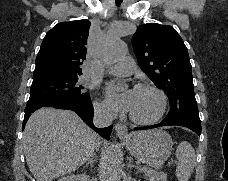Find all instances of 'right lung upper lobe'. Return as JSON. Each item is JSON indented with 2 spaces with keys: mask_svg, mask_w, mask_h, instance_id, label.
Segmentation results:
<instances>
[{
  "mask_svg": "<svg viewBox=\"0 0 228 181\" xmlns=\"http://www.w3.org/2000/svg\"><path fill=\"white\" fill-rule=\"evenodd\" d=\"M90 24L88 20L61 22L48 31L36 58L33 78L81 75Z\"/></svg>",
  "mask_w": 228,
  "mask_h": 181,
  "instance_id": "right-lung-upper-lobe-1",
  "label": "right lung upper lobe"
}]
</instances>
